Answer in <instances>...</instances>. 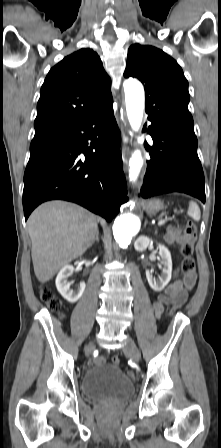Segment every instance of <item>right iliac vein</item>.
<instances>
[{
	"label": "right iliac vein",
	"instance_id": "obj_1",
	"mask_svg": "<svg viewBox=\"0 0 221 448\" xmlns=\"http://www.w3.org/2000/svg\"><path fill=\"white\" fill-rule=\"evenodd\" d=\"M93 349H94V343L91 342V343L86 347V351H87V352H90V351H92Z\"/></svg>",
	"mask_w": 221,
	"mask_h": 448
}]
</instances>
